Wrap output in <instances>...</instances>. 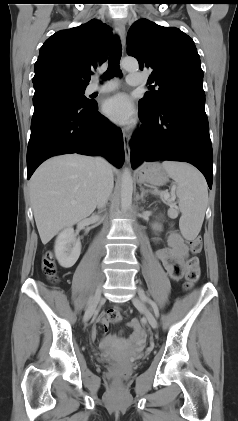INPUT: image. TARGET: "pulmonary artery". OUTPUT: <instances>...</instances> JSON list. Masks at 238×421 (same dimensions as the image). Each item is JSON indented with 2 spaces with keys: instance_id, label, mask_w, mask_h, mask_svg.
<instances>
[{
  "instance_id": "obj_1",
  "label": "pulmonary artery",
  "mask_w": 238,
  "mask_h": 421,
  "mask_svg": "<svg viewBox=\"0 0 238 421\" xmlns=\"http://www.w3.org/2000/svg\"><path fill=\"white\" fill-rule=\"evenodd\" d=\"M143 79L140 73H130L127 77L128 84L132 86L140 85ZM118 83L114 80L106 81L102 84L96 80L93 81L87 88L88 93H107L117 89Z\"/></svg>"
}]
</instances>
